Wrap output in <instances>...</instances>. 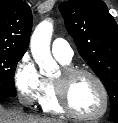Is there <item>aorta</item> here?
<instances>
[{"label":"aorta","instance_id":"1","mask_svg":"<svg viewBox=\"0 0 118 123\" xmlns=\"http://www.w3.org/2000/svg\"><path fill=\"white\" fill-rule=\"evenodd\" d=\"M52 33V22L44 20L35 28L31 36V53L40 68V73L43 75H49L57 68V64L50 52Z\"/></svg>","mask_w":118,"mask_h":123}]
</instances>
